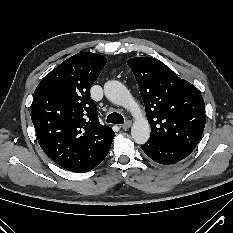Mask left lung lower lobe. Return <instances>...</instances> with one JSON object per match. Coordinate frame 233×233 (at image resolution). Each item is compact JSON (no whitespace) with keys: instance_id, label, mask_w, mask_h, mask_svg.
Listing matches in <instances>:
<instances>
[{"instance_id":"1","label":"left lung lower lobe","mask_w":233,"mask_h":233,"mask_svg":"<svg viewBox=\"0 0 233 233\" xmlns=\"http://www.w3.org/2000/svg\"><path fill=\"white\" fill-rule=\"evenodd\" d=\"M141 147L148 157H150L153 161L163 165L177 163L186 158L192 152L188 149L163 143L150 138L147 143Z\"/></svg>"}]
</instances>
